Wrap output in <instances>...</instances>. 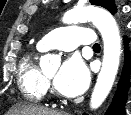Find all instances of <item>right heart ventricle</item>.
Returning <instances> with one entry per match:
<instances>
[{"mask_svg":"<svg viewBox=\"0 0 131 115\" xmlns=\"http://www.w3.org/2000/svg\"><path fill=\"white\" fill-rule=\"evenodd\" d=\"M42 50L37 46L35 51L23 56L19 62L17 83L24 99L39 102L46 93L44 75L39 69L36 59Z\"/></svg>","mask_w":131,"mask_h":115,"instance_id":"1","label":"right heart ventricle"}]
</instances>
